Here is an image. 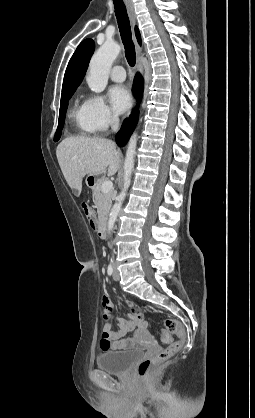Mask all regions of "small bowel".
Instances as JSON below:
<instances>
[{
	"label": "small bowel",
	"mask_w": 255,
	"mask_h": 418,
	"mask_svg": "<svg viewBox=\"0 0 255 418\" xmlns=\"http://www.w3.org/2000/svg\"><path fill=\"white\" fill-rule=\"evenodd\" d=\"M127 305L130 308V312L126 319H116V328L112 327L111 323H104L102 336L100 340V348L102 351H108L111 349L121 350L134 344L133 338H126L125 335L128 332L135 331L138 337H147V322L145 321L142 313L138 308L128 301ZM112 310V305L103 299V312L104 317L107 316Z\"/></svg>",
	"instance_id": "c3829d8e"
}]
</instances>
